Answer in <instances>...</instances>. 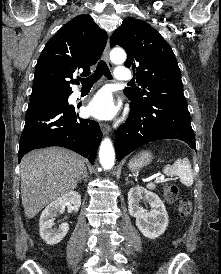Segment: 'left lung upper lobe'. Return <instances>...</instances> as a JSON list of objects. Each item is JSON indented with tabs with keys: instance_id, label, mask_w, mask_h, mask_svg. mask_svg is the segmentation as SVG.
Listing matches in <instances>:
<instances>
[{
	"instance_id": "obj_1",
	"label": "left lung upper lobe",
	"mask_w": 221,
	"mask_h": 274,
	"mask_svg": "<svg viewBox=\"0 0 221 274\" xmlns=\"http://www.w3.org/2000/svg\"><path fill=\"white\" fill-rule=\"evenodd\" d=\"M110 46L127 51L126 67H133L139 87L124 90L137 103L185 100L181 73L170 45L148 23L123 20L110 38Z\"/></svg>"
}]
</instances>
